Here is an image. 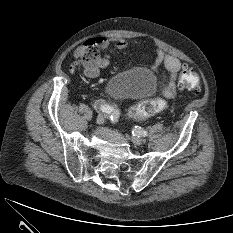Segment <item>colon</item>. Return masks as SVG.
<instances>
[{
    "label": "colon",
    "instance_id": "5ec220e1",
    "mask_svg": "<svg viewBox=\"0 0 233 233\" xmlns=\"http://www.w3.org/2000/svg\"><path fill=\"white\" fill-rule=\"evenodd\" d=\"M99 56L100 46L93 40L86 42L80 52L81 61L89 64L98 60ZM179 87L197 91L200 88L198 75L192 70L183 69L179 77ZM165 105V101L160 98L144 100L130 109L129 116L133 119L143 120L161 112Z\"/></svg>",
    "mask_w": 233,
    "mask_h": 233
}]
</instances>
